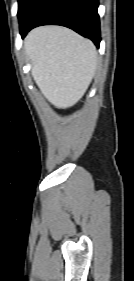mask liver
Segmentation results:
<instances>
[{
  "mask_svg": "<svg viewBox=\"0 0 134 281\" xmlns=\"http://www.w3.org/2000/svg\"><path fill=\"white\" fill-rule=\"evenodd\" d=\"M25 52L41 93L60 109L75 105L83 97L97 68L95 45L64 27L33 29L25 39Z\"/></svg>",
  "mask_w": 134,
  "mask_h": 281,
  "instance_id": "6515ba94",
  "label": "liver"
}]
</instances>
